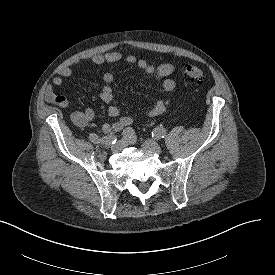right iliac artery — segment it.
Returning <instances> with one entry per match:
<instances>
[{
    "label": "right iliac artery",
    "instance_id": "right-iliac-artery-1",
    "mask_svg": "<svg viewBox=\"0 0 275 275\" xmlns=\"http://www.w3.org/2000/svg\"><path fill=\"white\" fill-rule=\"evenodd\" d=\"M122 137L125 138V139L133 138L134 137V130L132 128H126L122 132ZM89 139H90L91 142H93L95 144L102 143V144H106V145L114 144L117 141V137L114 136V135H108V136L100 138L95 133L90 134Z\"/></svg>",
    "mask_w": 275,
    "mask_h": 275
}]
</instances>
